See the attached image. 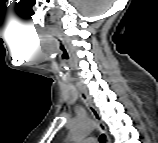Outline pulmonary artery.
Here are the masks:
<instances>
[{
    "label": "pulmonary artery",
    "mask_w": 158,
    "mask_h": 143,
    "mask_svg": "<svg viewBox=\"0 0 158 143\" xmlns=\"http://www.w3.org/2000/svg\"><path fill=\"white\" fill-rule=\"evenodd\" d=\"M87 141H88L89 143H92V142H95V139H94V138H88Z\"/></svg>",
    "instance_id": "obj_1"
}]
</instances>
